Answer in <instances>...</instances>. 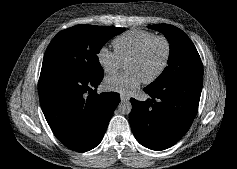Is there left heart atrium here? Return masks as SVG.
Segmentation results:
<instances>
[{
  "mask_svg": "<svg viewBox=\"0 0 237 169\" xmlns=\"http://www.w3.org/2000/svg\"><path fill=\"white\" fill-rule=\"evenodd\" d=\"M142 81L141 77L135 71L127 70L107 77L105 86L112 91L129 93L136 89Z\"/></svg>",
  "mask_w": 237,
  "mask_h": 169,
  "instance_id": "obj_1",
  "label": "left heart atrium"
}]
</instances>
